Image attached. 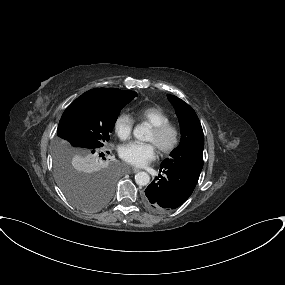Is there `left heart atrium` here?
<instances>
[{
	"mask_svg": "<svg viewBox=\"0 0 285 285\" xmlns=\"http://www.w3.org/2000/svg\"><path fill=\"white\" fill-rule=\"evenodd\" d=\"M119 154L129 164L142 167L152 161L157 155L156 145L152 142H131L121 147Z\"/></svg>",
	"mask_w": 285,
	"mask_h": 285,
	"instance_id": "left-heart-atrium-1",
	"label": "left heart atrium"
}]
</instances>
